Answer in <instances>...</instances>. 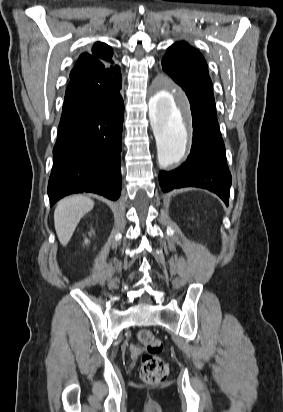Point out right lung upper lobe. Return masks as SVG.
<instances>
[{
	"label": "right lung upper lobe",
	"mask_w": 283,
	"mask_h": 412,
	"mask_svg": "<svg viewBox=\"0 0 283 412\" xmlns=\"http://www.w3.org/2000/svg\"><path fill=\"white\" fill-rule=\"evenodd\" d=\"M112 55V48L100 42L94 44L91 53H83L70 73L65 97L94 82L114 84L122 81L120 68L112 60Z\"/></svg>",
	"instance_id": "obj_1"
}]
</instances>
